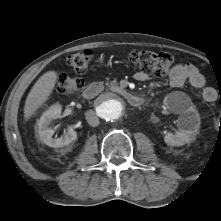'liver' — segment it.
<instances>
[{
	"instance_id": "obj_1",
	"label": "liver",
	"mask_w": 221,
	"mask_h": 221,
	"mask_svg": "<svg viewBox=\"0 0 221 221\" xmlns=\"http://www.w3.org/2000/svg\"><path fill=\"white\" fill-rule=\"evenodd\" d=\"M57 81V73L48 71L44 73L33 85L24 106V118L28 120L39 107L49 98Z\"/></svg>"
}]
</instances>
